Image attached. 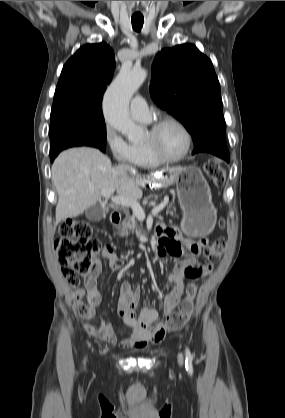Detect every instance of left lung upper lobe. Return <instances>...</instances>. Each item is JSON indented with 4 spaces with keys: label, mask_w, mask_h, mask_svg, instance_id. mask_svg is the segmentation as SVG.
<instances>
[{
    "label": "left lung upper lobe",
    "mask_w": 285,
    "mask_h": 418,
    "mask_svg": "<svg viewBox=\"0 0 285 418\" xmlns=\"http://www.w3.org/2000/svg\"><path fill=\"white\" fill-rule=\"evenodd\" d=\"M150 93L192 135L193 154L208 152L230 159L220 84L211 60L195 45L163 49L155 56Z\"/></svg>",
    "instance_id": "left-lung-upper-lobe-1"
}]
</instances>
